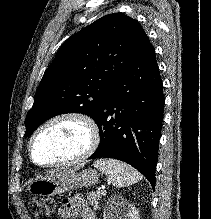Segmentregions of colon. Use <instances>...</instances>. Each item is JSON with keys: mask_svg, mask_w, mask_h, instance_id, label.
Listing matches in <instances>:
<instances>
[{"mask_svg": "<svg viewBox=\"0 0 211 219\" xmlns=\"http://www.w3.org/2000/svg\"><path fill=\"white\" fill-rule=\"evenodd\" d=\"M28 207L37 219H50L55 211V204L50 199H31Z\"/></svg>", "mask_w": 211, "mask_h": 219, "instance_id": "obj_1", "label": "colon"}]
</instances>
